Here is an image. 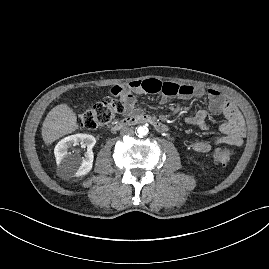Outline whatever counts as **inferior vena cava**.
I'll return each mask as SVG.
<instances>
[{"instance_id": "inferior-vena-cava-1", "label": "inferior vena cava", "mask_w": 269, "mask_h": 269, "mask_svg": "<svg viewBox=\"0 0 269 269\" xmlns=\"http://www.w3.org/2000/svg\"><path fill=\"white\" fill-rule=\"evenodd\" d=\"M121 135H132L134 133L132 127H123L120 131Z\"/></svg>"}]
</instances>
